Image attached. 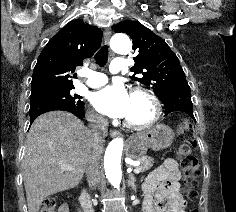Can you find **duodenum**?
Returning a JSON list of instances; mask_svg holds the SVG:
<instances>
[{"instance_id": "duodenum-1", "label": "duodenum", "mask_w": 236, "mask_h": 212, "mask_svg": "<svg viewBox=\"0 0 236 212\" xmlns=\"http://www.w3.org/2000/svg\"><path fill=\"white\" fill-rule=\"evenodd\" d=\"M80 203L84 212H94V207L91 198L86 189H82L80 193Z\"/></svg>"}]
</instances>
